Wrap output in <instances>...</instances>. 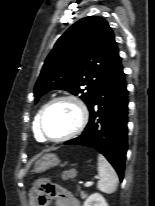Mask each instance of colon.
<instances>
[{"label":"colon","mask_w":155,"mask_h":206,"mask_svg":"<svg viewBox=\"0 0 155 206\" xmlns=\"http://www.w3.org/2000/svg\"><path fill=\"white\" fill-rule=\"evenodd\" d=\"M54 184L47 179L40 181L36 188L32 190V195L36 197L37 205L45 206L48 195L53 191Z\"/></svg>","instance_id":"colon-1"}]
</instances>
